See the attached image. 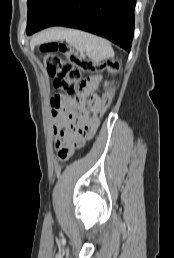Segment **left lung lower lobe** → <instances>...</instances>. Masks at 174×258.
I'll list each match as a JSON object with an SVG mask.
<instances>
[{
	"mask_svg": "<svg viewBox=\"0 0 174 258\" xmlns=\"http://www.w3.org/2000/svg\"><path fill=\"white\" fill-rule=\"evenodd\" d=\"M135 4L136 0H59L35 32L50 26L81 29L105 37L129 52Z\"/></svg>",
	"mask_w": 174,
	"mask_h": 258,
	"instance_id": "1",
	"label": "left lung lower lobe"
}]
</instances>
